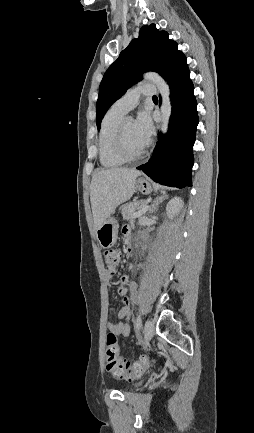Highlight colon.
I'll return each instance as SVG.
<instances>
[{
  "mask_svg": "<svg viewBox=\"0 0 254 433\" xmlns=\"http://www.w3.org/2000/svg\"><path fill=\"white\" fill-rule=\"evenodd\" d=\"M119 252L106 250L103 253L105 272L114 275L119 263ZM146 356H141L135 362H129L119 357L117 337L114 333H108L106 337V370L119 379H133L139 377L147 368Z\"/></svg>",
  "mask_w": 254,
  "mask_h": 433,
  "instance_id": "colon-1",
  "label": "colon"
}]
</instances>
